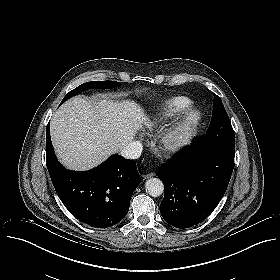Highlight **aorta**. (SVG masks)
<instances>
[{"mask_svg": "<svg viewBox=\"0 0 280 280\" xmlns=\"http://www.w3.org/2000/svg\"><path fill=\"white\" fill-rule=\"evenodd\" d=\"M146 192L152 197H158L164 192V184L159 178H150L145 182Z\"/></svg>", "mask_w": 280, "mask_h": 280, "instance_id": "aorta-1", "label": "aorta"}]
</instances>
